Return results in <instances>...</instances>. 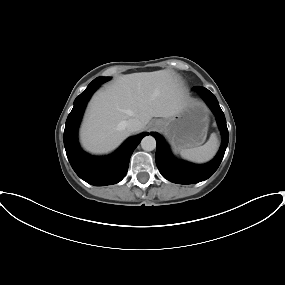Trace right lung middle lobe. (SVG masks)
I'll list each match as a JSON object with an SVG mask.
<instances>
[{"label": "right lung middle lobe", "instance_id": "dd1d6c3e", "mask_svg": "<svg viewBox=\"0 0 285 285\" xmlns=\"http://www.w3.org/2000/svg\"><path fill=\"white\" fill-rule=\"evenodd\" d=\"M110 80V77H99V78H96L95 80H93L89 86H92V85H99L101 83H104V82H107ZM88 86V87H89Z\"/></svg>", "mask_w": 285, "mask_h": 285}]
</instances>
